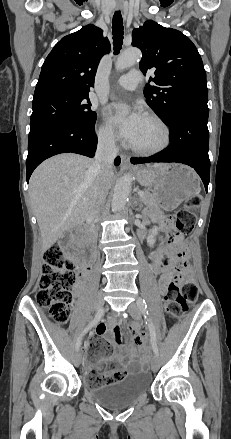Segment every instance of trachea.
I'll use <instances>...</instances> for the list:
<instances>
[{"label": "trachea", "mask_w": 231, "mask_h": 439, "mask_svg": "<svg viewBox=\"0 0 231 439\" xmlns=\"http://www.w3.org/2000/svg\"><path fill=\"white\" fill-rule=\"evenodd\" d=\"M123 20L120 11H116L113 15L112 20V34H113V44H114V54H118L122 48L123 44Z\"/></svg>", "instance_id": "trachea-1"}]
</instances>
